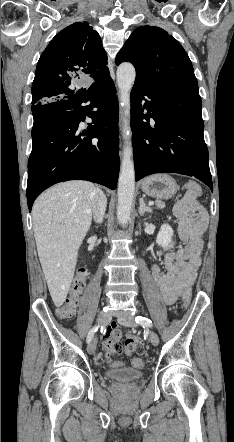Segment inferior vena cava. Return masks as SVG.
<instances>
[{"label": "inferior vena cava", "mask_w": 234, "mask_h": 442, "mask_svg": "<svg viewBox=\"0 0 234 442\" xmlns=\"http://www.w3.org/2000/svg\"><path fill=\"white\" fill-rule=\"evenodd\" d=\"M106 206L107 198L105 194L99 188H94L91 196V208L96 223H102Z\"/></svg>", "instance_id": "602c4592"}]
</instances>
